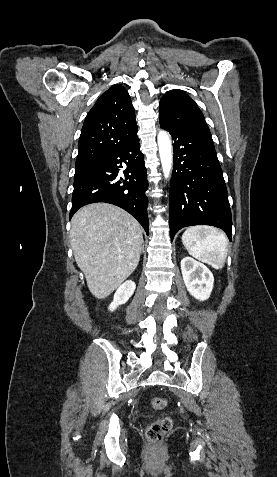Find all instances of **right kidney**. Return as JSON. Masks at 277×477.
<instances>
[{
	"mask_svg": "<svg viewBox=\"0 0 277 477\" xmlns=\"http://www.w3.org/2000/svg\"><path fill=\"white\" fill-rule=\"evenodd\" d=\"M136 284L132 280H127L118 287L114 294L113 302L109 306L110 311H114L119 305L125 304L133 295Z\"/></svg>",
	"mask_w": 277,
	"mask_h": 477,
	"instance_id": "ca27d5eb",
	"label": "right kidney"
}]
</instances>
